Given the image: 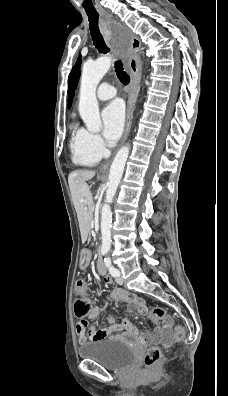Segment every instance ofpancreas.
<instances>
[{
  "label": "pancreas",
  "instance_id": "pancreas-1",
  "mask_svg": "<svg viewBox=\"0 0 228 396\" xmlns=\"http://www.w3.org/2000/svg\"><path fill=\"white\" fill-rule=\"evenodd\" d=\"M90 219H91V220H94V219H95V216H94V215H91V216H90ZM89 229L91 230L92 228L90 227ZM88 234H89L90 237L92 236L90 232H89ZM90 237L88 238L89 242H90V240H91Z\"/></svg>",
  "mask_w": 228,
  "mask_h": 396
}]
</instances>
